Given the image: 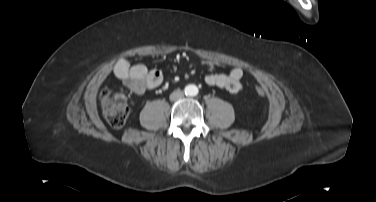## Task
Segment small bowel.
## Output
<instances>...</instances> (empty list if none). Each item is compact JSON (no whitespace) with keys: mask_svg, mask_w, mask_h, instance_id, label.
Masks as SVG:
<instances>
[{"mask_svg":"<svg viewBox=\"0 0 376 202\" xmlns=\"http://www.w3.org/2000/svg\"><path fill=\"white\" fill-rule=\"evenodd\" d=\"M219 63L230 65L226 61ZM113 73L123 86L136 95L157 88L163 81V73L160 69H149L144 63L130 65L125 59H120L115 63ZM242 77L243 69L233 66L229 73H210L205 76L204 80L209 86L224 88L234 93L242 90Z\"/></svg>","mask_w":376,"mask_h":202,"instance_id":"c3829d8e","label":"small bowel"}]
</instances>
